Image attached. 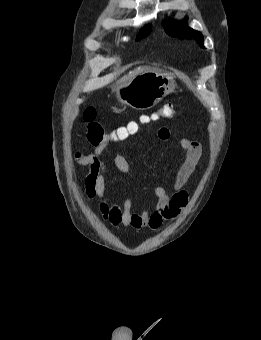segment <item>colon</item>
<instances>
[{
	"mask_svg": "<svg viewBox=\"0 0 261 340\" xmlns=\"http://www.w3.org/2000/svg\"><path fill=\"white\" fill-rule=\"evenodd\" d=\"M177 109L171 103H166L162 105L157 113L153 116L154 119H172L176 116ZM83 118L86 122V136L88 141L94 146H98L102 144L107 138L111 137L112 141H122L125 139V135L123 134L122 127L116 128L111 133H106L103 126L96 121V111L92 107H87L83 112ZM146 119L143 122H148L149 117H145Z\"/></svg>",
	"mask_w": 261,
	"mask_h": 340,
	"instance_id": "obj_1",
	"label": "colon"
}]
</instances>
